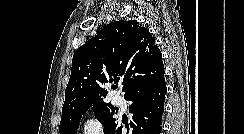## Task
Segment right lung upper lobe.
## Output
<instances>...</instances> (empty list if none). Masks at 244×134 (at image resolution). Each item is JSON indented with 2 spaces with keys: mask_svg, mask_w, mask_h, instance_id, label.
<instances>
[{
  "mask_svg": "<svg viewBox=\"0 0 244 134\" xmlns=\"http://www.w3.org/2000/svg\"><path fill=\"white\" fill-rule=\"evenodd\" d=\"M164 73L161 52L149 30L137 21H114L74 53L61 119L104 103L107 83L123 80L126 97Z\"/></svg>",
  "mask_w": 244,
  "mask_h": 134,
  "instance_id": "obj_1",
  "label": "right lung upper lobe"
}]
</instances>
